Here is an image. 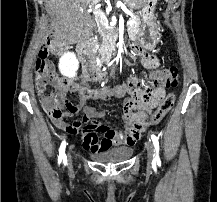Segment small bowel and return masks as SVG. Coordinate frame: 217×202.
I'll use <instances>...</instances> for the list:
<instances>
[{"mask_svg": "<svg viewBox=\"0 0 217 202\" xmlns=\"http://www.w3.org/2000/svg\"><path fill=\"white\" fill-rule=\"evenodd\" d=\"M141 61L149 69H154L159 64L158 58L151 54H142ZM59 84L58 99L65 101L64 93L68 88L77 91L80 96V106L75 109L74 113L82 112L84 119L88 120L104 116V112L85 105L88 99L108 100L110 98H123L127 93V89L120 84L94 89L90 88L88 84H80L73 81L59 82ZM135 105L137 103L132 98H126L122 103V118L126 123L124 131L116 132L108 126L98 127V131H81L83 141H110L82 142V147H132L138 141L141 133L148 128L145 126V123L151 116L149 111L142 108L135 112ZM56 120H59V117H56ZM141 126L142 128H138Z\"/></svg>", "mask_w": 217, "mask_h": 202, "instance_id": "c3829d8e", "label": "small bowel"}]
</instances>
